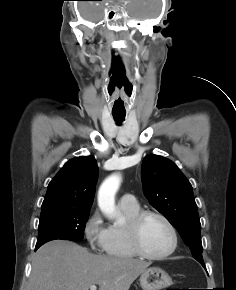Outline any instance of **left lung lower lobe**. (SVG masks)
<instances>
[{"label":"left lung lower lobe","instance_id":"obj_1","mask_svg":"<svg viewBox=\"0 0 236 290\" xmlns=\"http://www.w3.org/2000/svg\"><path fill=\"white\" fill-rule=\"evenodd\" d=\"M203 267H205L204 263H200Z\"/></svg>","mask_w":236,"mask_h":290}]
</instances>
